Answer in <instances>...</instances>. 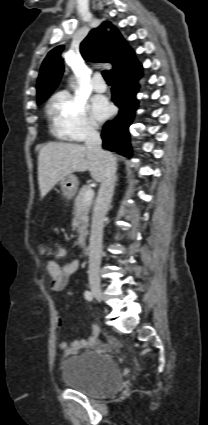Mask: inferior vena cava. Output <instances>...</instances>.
I'll return each mask as SVG.
<instances>
[{
	"instance_id": "obj_1",
	"label": "inferior vena cava",
	"mask_w": 208,
	"mask_h": 425,
	"mask_svg": "<svg viewBox=\"0 0 208 425\" xmlns=\"http://www.w3.org/2000/svg\"><path fill=\"white\" fill-rule=\"evenodd\" d=\"M85 145L87 149L100 157L105 165L104 175L101 180L100 189L93 209L89 243V281L90 283L94 282L99 284L104 218L110 208L114 192L117 163L116 158L111 153L106 152L101 148L102 140L100 135L92 126L87 128Z\"/></svg>"
}]
</instances>
